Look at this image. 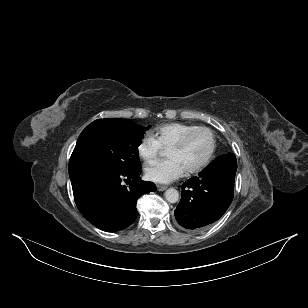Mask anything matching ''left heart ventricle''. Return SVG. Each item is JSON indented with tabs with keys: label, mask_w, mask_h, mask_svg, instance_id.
Wrapping results in <instances>:
<instances>
[{
	"label": "left heart ventricle",
	"mask_w": 308,
	"mask_h": 308,
	"mask_svg": "<svg viewBox=\"0 0 308 308\" xmlns=\"http://www.w3.org/2000/svg\"><path fill=\"white\" fill-rule=\"evenodd\" d=\"M212 139L208 132L200 131L193 135L181 149H168L166 156L177 159L185 171L199 165L208 155Z\"/></svg>",
	"instance_id": "left-heart-ventricle-1"
}]
</instances>
